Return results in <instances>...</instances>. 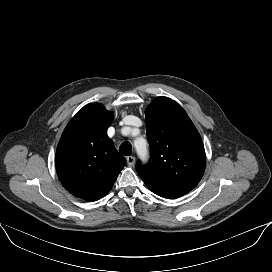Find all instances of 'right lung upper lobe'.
<instances>
[{"mask_svg": "<svg viewBox=\"0 0 272 272\" xmlns=\"http://www.w3.org/2000/svg\"><path fill=\"white\" fill-rule=\"evenodd\" d=\"M113 113L98 103L83 107L67 124L58 143L55 164L64 188L92 202L112 188L125 158L107 135Z\"/></svg>", "mask_w": 272, "mask_h": 272, "instance_id": "1", "label": "right lung upper lobe"}]
</instances>
